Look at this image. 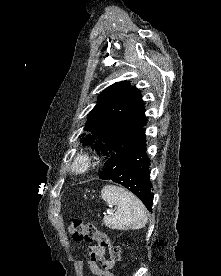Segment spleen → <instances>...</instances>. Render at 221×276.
Wrapping results in <instances>:
<instances>
[{
	"instance_id": "obj_1",
	"label": "spleen",
	"mask_w": 221,
	"mask_h": 276,
	"mask_svg": "<svg viewBox=\"0 0 221 276\" xmlns=\"http://www.w3.org/2000/svg\"><path fill=\"white\" fill-rule=\"evenodd\" d=\"M101 199L109 205H115L117 211L104 216L103 222L110 229L137 230L145 227L147 211L143 203L131 192L122 187L106 185L101 190Z\"/></svg>"
}]
</instances>
